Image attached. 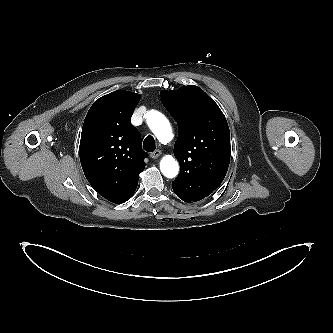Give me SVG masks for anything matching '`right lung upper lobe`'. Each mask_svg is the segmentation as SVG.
Wrapping results in <instances>:
<instances>
[{"instance_id":"right-lung-upper-lobe-1","label":"right lung upper lobe","mask_w":333,"mask_h":333,"mask_svg":"<svg viewBox=\"0 0 333 333\" xmlns=\"http://www.w3.org/2000/svg\"><path fill=\"white\" fill-rule=\"evenodd\" d=\"M140 94L118 90L96 100L81 133L80 161L92 187L105 199L123 203L130 199L144 170L147 154L130 118Z\"/></svg>"}]
</instances>
